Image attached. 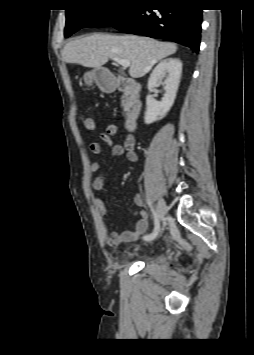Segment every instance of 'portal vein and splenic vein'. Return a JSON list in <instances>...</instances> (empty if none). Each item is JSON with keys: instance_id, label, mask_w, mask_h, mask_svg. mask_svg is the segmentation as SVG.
<instances>
[{"instance_id": "obj_1", "label": "portal vein and splenic vein", "mask_w": 254, "mask_h": 355, "mask_svg": "<svg viewBox=\"0 0 254 355\" xmlns=\"http://www.w3.org/2000/svg\"><path fill=\"white\" fill-rule=\"evenodd\" d=\"M112 60L121 65L123 68H128L130 66V60L128 59L113 57Z\"/></svg>"}]
</instances>
